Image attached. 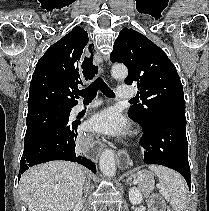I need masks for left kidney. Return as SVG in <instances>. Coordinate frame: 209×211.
I'll return each mask as SVG.
<instances>
[{
    "mask_svg": "<svg viewBox=\"0 0 209 211\" xmlns=\"http://www.w3.org/2000/svg\"><path fill=\"white\" fill-rule=\"evenodd\" d=\"M129 200L133 205H138L142 202V195L138 188H136V187L130 188Z\"/></svg>",
    "mask_w": 209,
    "mask_h": 211,
    "instance_id": "obj_1",
    "label": "left kidney"
}]
</instances>
